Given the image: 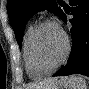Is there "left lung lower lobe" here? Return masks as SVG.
<instances>
[{
  "label": "left lung lower lobe",
  "mask_w": 89,
  "mask_h": 89,
  "mask_svg": "<svg viewBox=\"0 0 89 89\" xmlns=\"http://www.w3.org/2000/svg\"><path fill=\"white\" fill-rule=\"evenodd\" d=\"M72 50L65 66L53 76L82 74L89 76V0H70ZM61 19L66 23V14Z\"/></svg>",
  "instance_id": "left-lung-lower-lobe-1"
}]
</instances>
